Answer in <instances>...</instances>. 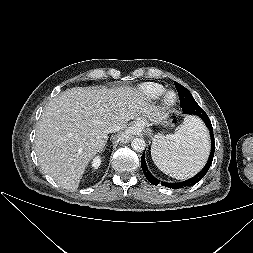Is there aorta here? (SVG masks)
Returning a JSON list of instances; mask_svg holds the SVG:
<instances>
[{
    "mask_svg": "<svg viewBox=\"0 0 253 253\" xmlns=\"http://www.w3.org/2000/svg\"><path fill=\"white\" fill-rule=\"evenodd\" d=\"M131 146L135 151L141 152L145 149L146 143L142 138H134L131 142Z\"/></svg>",
    "mask_w": 253,
    "mask_h": 253,
    "instance_id": "obj_1",
    "label": "aorta"
}]
</instances>
